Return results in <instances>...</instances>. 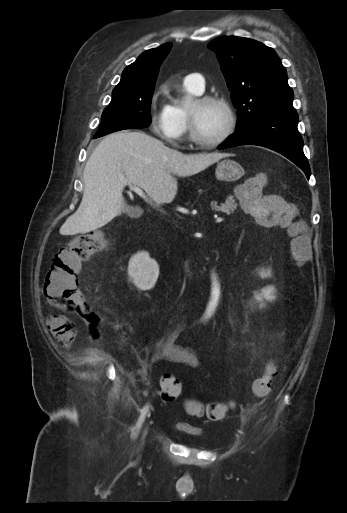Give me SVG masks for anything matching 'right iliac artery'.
<instances>
[{
    "instance_id": "1",
    "label": "right iliac artery",
    "mask_w": 347,
    "mask_h": 513,
    "mask_svg": "<svg viewBox=\"0 0 347 513\" xmlns=\"http://www.w3.org/2000/svg\"><path fill=\"white\" fill-rule=\"evenodd\" d=\"M148 409H149V406H148V405H146V406L141 410V415H140V417H139V419H138V422H137V424H136V430H134V431H133V433H132V436H133V437H135V436H136L137 431L140 429V427H141V425H142V423H143V421H144V419H145V416H146V414H147V412H148Z\"/></svg>"
}]
</instances>
